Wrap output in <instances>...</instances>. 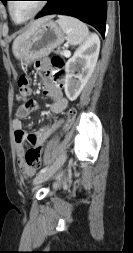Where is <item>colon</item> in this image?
Here are the masks:
<instances>
[{"label": "colon", "instance_id": "1", "mask_svg": "<svg viewBox=\"0 0 133 253\" xmlns=\"http://www.w3.org/2000/svg\"><path fill=\"white\" fill-rule=\"evenodd\" d=\"M51 65L53 69L56 71H60L63 66H64V60L59 57V56H54L51 59ZM18 86H19V92L17 95V99L24 104V97H29L31 88L29 84V80L27 76L22 75L19 78L18 81ZM76 116V109L75 108H69L66 112V125L65 128H67L69 125H75L77 122V117ZM41 153L42 149L41 148H32L27 151L26 153V161L29 166L33 167L35 170L38 169L41 166Z\"/></svg>", "mask_w": 133, "mask_h": 253}]
</instances>
